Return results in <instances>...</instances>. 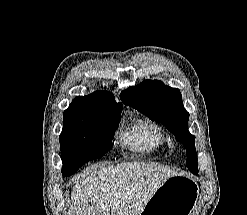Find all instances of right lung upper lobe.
I'll return each mask as SVG.
<instances>
[{
    "mask_svg": "<svg viewBox=\"0 0 247 215\" xmlns=\"http://www.w3.org/2000/svg\"><path fill=\"white\" fill-rule=\"evenodd\" d=\"M74 101L86 108L107 113H121L123 109V105L116 103L114 95L108 91H96L85 97L78 96Z\"/></svg>",
    "mask_w": 247,
    "mask_h": 215,
    "instance_id": "right-lung-upper-lobe-1",
    "label": "right lung upper lobe"
}]
</instances>
